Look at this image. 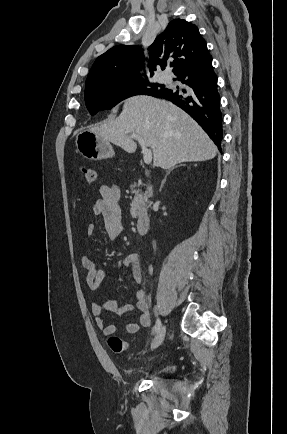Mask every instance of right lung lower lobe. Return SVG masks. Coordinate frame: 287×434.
<instances>
[{
  "label": "right lung lower lobe",
  "mask_w": 287,
  "mask_h": 434,
  "mask_svg": "<svg viewBox=\"0 0 287 434\" xmlns=\"http://www.w3.org/2000/svg\"><path fill=\"white\" fill-rule=\"evenodd\" d=\"M175 75L178 81L185 84L184 88H162L150 95L169 100L186 111L221 150L223 132L220 96L209 52L203 53Z\"/></svg>",
  "instance_id": "obj_1"
}]
</instances>
